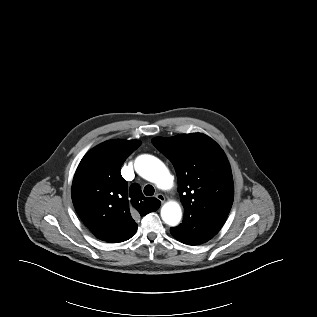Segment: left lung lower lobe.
<instances>
[{"instance_id":"0a47b994","label":"left lung lower lobe","mask_w":317,"mask_h":317,"mask_svg":"<svg viewBox=\"0 0 317 317\" xmlns=\"http://www.w3.org/2000/svg\"><path fill=\"white\" fill-rule=\"evenodd\" d=\"M225 220L211 217H197L185 225L171 228V234L180 242L199 245L213 238Z\"/></svg>"}]
</instances>
